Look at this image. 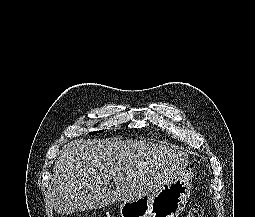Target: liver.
I'll use <instances>...</instances> for the list:
<instances>
[{
	"label": "liver",
	"instance_id": "obj_1",
	"mask_svg": "<svg viewBox=\"0 0 255 217\" xmlns=\"http://www.w3.org/2000/svg\"><path fill=\"white\" fill-rule=\"evenodd\" d=\"M188 166V153L146 141L73 140L54 164L56 213L97 209L149 196ZM115 190L109 188L110 180Z\"/></svg>",
	"mask_w": 255,
	"mask_h": 217
}]
</instances>
